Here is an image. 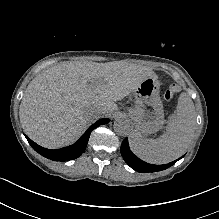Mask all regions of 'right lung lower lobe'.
Returning a JSON list of instances; mask_svg holds the SVG:
<instances>
[{"label":"right lung lower lobe","instance_id":"obj_1","mask_svg":"<svg viewBox=\"0 0 219 219\" xmlns=\"http://www.w3.org/2000/svg\"><path fill=\"white\" fill-rule=\"evenodd\" d=\"M109 121L110 120L107 118L98 120L95 124L91 125L89 129H87V131L80 137V139L75 144L57 150L45 149L30 140L27 136L26 138L30 145L33 147V149L42 156L54 161H68L79 157L85 151L90 133L93 129H95L99 125L107 124L109 123Z\"/></svg>","mask_w":219,"mask_h":219}]
</instances>
